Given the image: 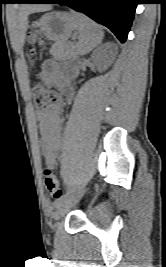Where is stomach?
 I'll return each mask as SVG.
<instances>
[{"mask_svg":"<svg viewBox=\"0 0 166 267\" xmlns=\"http://www.w3.org/2000/svg\"><path fill=\"white\" fill-rule=\"evenodd\" d=\"M78 24V19L73 14L53 11L40 18L36 32L46 39L61 41L68 39L78 28Z\"/></svg>","mask_w":166,"mask_h":267,"instance_id":"1","label":"stomach"}]
</instances>
